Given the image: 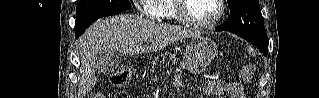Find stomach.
Masks as SVG:
<instances>
[{
	"mask_svg": "<svg viewBox=\"0 0 319 98\" xmlns=\"http://www.w3.org/2000/svg\"><path fill=\"white\" fill-rule=\"evenodd\" d=\"M217 46L214 41L201 35L194 36L183 56V63L192 73H201L216 55Z\"/></svg>",
	"mask_w": 319,
	"mask_h": 98,
	"instance_id": "stomach-1",
	"label": "stomach"
}]
</instances>
